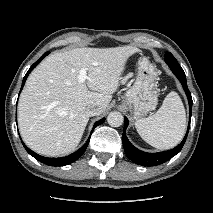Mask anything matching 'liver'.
<instances>
[{"label":"liver","mask_w":213,"mask_h":213,"mask_svg":"<svg viewBox=\"0 0 213 213\" xmlns=\"http://www.w3.org/2000/svg\"><path fill=\"white\" fill-rule=\"evenodd\" d=\"M136 47L77 48L54 53L29 75L18 103V125L25 144L44 156L75 150L89 121L86 108L105 111L116 92L127 59ZM88 79L79 82L81 69Z\"/></svg>","instance_id":"6515ba94"}]
</instances>
